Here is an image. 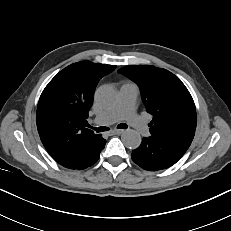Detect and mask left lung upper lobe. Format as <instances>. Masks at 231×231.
<instances>
[{
	"label": "left lung upper lobe",
	"instance_id": "1",
	"mask_svg": "<svg viewBox=\"0 0 231 231\" xmlns=\"http://www.w3.org/2000/svg\"><path fill=\"white\" fill-rule=\"evenodd\" d=\"M140 88L147 112L151 136L178 144L187 150L196 129V109L182 81L163 68L148 65L125 66L118 70Z\"/></svg>",
	"mask_w": 231,
	"mask_h": 231
}]
</instances>
